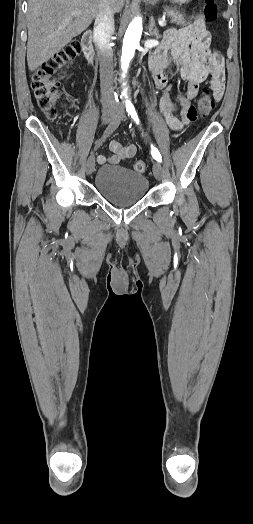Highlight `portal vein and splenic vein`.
<instances>
[{"instance_id": "18ae733b", "label": "portal vein and splenic vein", "mask_w": 253, "mask_h": 524, "mask_svg": "<svg viewBox=\"0 0 253 524\" xmlns=\"http://www.w3.org/2000/svg\"><path fill=\"white\" fill-rule=\"evenodd\" d=\"M73 14L78 15L79 12H74ZM158 23H159L160 26H165L166 25L165 19H160L158 21Z\"/></svg>"}]
</instances>
